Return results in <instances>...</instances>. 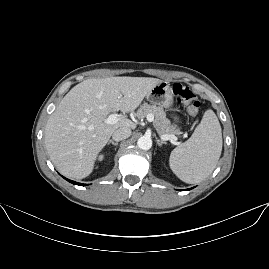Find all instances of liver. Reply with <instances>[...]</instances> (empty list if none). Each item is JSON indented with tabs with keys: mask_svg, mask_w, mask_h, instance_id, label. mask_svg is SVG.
Instances as JSON below:
<instances>
[{
	"mask_svg": "<svg viewBox=\"0 0 269 269\" xmlns=\"http://www.w3.org/2000/svg\"><path fill=\"white\" fill-rule=\"evenodd\" d=\"M163 82L150 77L119 76L89 78L75 85L45 126V147L53 164L69 178L88 177L111 135L120 128H137V123L125 117L110 124L109 114L134 113Z\"/></svg>",
	"mask_w": 269,
	"mask_h": 269,
	"instance_id": "liver-1",
	"label": "liver"
}]
</instances>
